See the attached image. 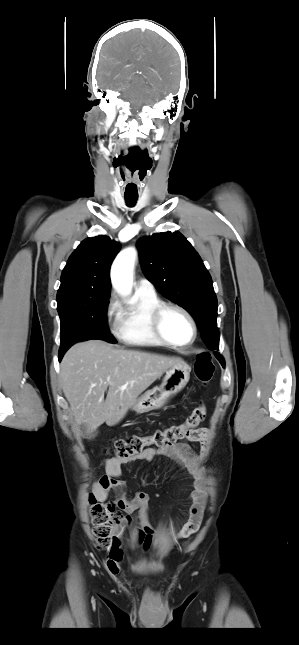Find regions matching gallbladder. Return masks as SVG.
Masks as SVG:
<instances>
[{
  "instance_id": "1",
  "label": "gallbladder",
  "mask_w": 299,
  "mask_h": 645,
  "mask_svg": "<svg viewBox=\"0 0 299 645\" xmlns=\"http://www.w3.org/2000/svg\"><path fill=\"white\" fill-rule=\"evenodd\" d=\"M79 431H80L82 437L86 438V439H93V438H95L97 436V433H98L96 430H94L92 432H89L88 427L85 424H80L79 425Z\"/></svg>"
}]
</instances>
